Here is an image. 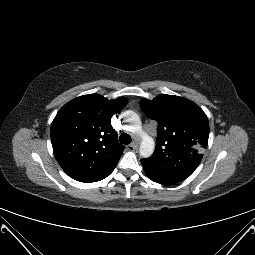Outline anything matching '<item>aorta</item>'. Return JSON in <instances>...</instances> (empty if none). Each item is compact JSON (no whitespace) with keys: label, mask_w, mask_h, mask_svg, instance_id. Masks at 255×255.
<instances>
[{"label":"aorta","mask_w":255,"mask_h":255,"mask_svg":"<svg viewBox=\"0 0 255 255\" xmlns=\"http://www.w3.org/2000/svg\"><path fill=\"white\" fill-rule=\"evenodd\" d=\"M122 118L128 123V129L141 137L139 148L140 155L144 158L150 157L155 150V142L151 136L142 131V124L139 116L133 111H125Z\"/></svg>","instance_id":"obj_1"}]
</instances>
